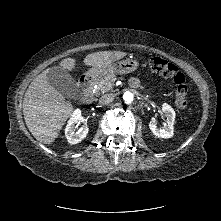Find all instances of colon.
Segmentation results:
<instances>
[{"mask_svg":"<svg viewBox=\"0 0 221 221\" xmlns=\"http://www.w3.org/2000/svg\"><path fill=\"white\" fill-rule=\"evenodd\" d=\"M147 63L150 69L155 73L173 80L175 84L176 104L179 108L186 109L188 107V88L185 75L174 63L162 57H151Z\"/></svg>","mask_w":221,"mask_h":221,"instance_id":"obj_1","label":"colon"}]
</instances>
